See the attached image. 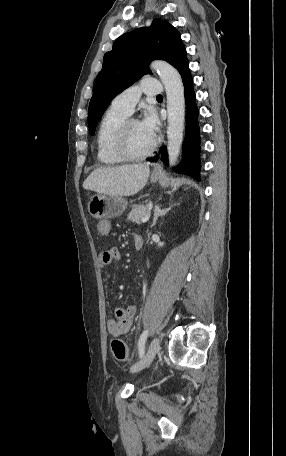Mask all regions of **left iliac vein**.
I'll list each match as a JSON object with an SVG mask.
<instances>
[{
	"label": "left iliac vein",
	"mask_w": 286,
	"mask_h": 456,
	"mask_svg": "<svg viewBox=\"0 0 286 456\" xmlns=\"http://www.w3.org/2000/svg\"><path fill=\"white\" fill-rule=\"evenodd\" d=\"M160 349V341L157 337H155L146 352V354L134 365L131 366L130 372L136 373L141 371L142 369L146 368L150 363L153 361L154 357L156 356L157 352Z\"/></svg>",
	"instance_id": "obj_1"
}]
</instances>
